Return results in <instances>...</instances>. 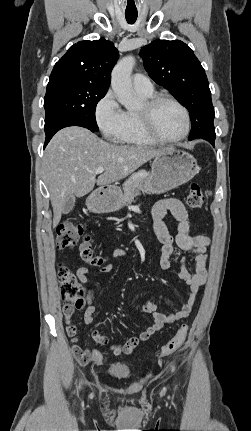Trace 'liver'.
<instances>
[{"label": "liver", "mask_w": 251, "mask_h": 431, "mask_svg": "<svg viewBox=\"0 0 251 431\" xmlns=\"http://www.w3.org/2000/svg\"><path fill=\"white\" fill-rule=\"evenodd\" d=\"M166 150L110 144L77 126L57 132L46 147L42 164L53 208V227L59 224L69 196L83 197L95 184L108 187ZM99 167L104 172L96 179L94 171Z\"/></svg>", "instance_id": "1"}]
</instances>
